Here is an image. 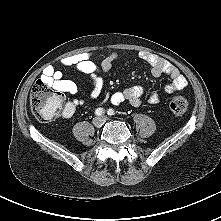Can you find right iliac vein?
Returning a JSON list of instances; mask_svg holds the SVG:
<instances>
[{
  "label": "right iliac vein",
  "instance_id": "63e3f726",
  "mask_svg": "<svg viewBox=\"0 0 221 221\" xmlns=\"http://www.w3.org/2000/svg\"><path fill=\"white\" fill-rule=\"evenodd\" d=\"M103 123H104V119L102 117H95L93 119V125L95 127L99 128V127H101L103 125Z\"/></svg>",
  "mask_w": 221,
  "mask_h": 221
}]
</instances>
